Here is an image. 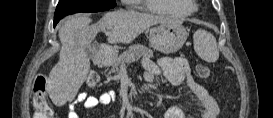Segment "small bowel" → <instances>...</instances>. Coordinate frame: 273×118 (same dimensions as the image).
<instances>
[{"label":"small bowel","instance_id":"obj_1","mask_svg":"<svg viewBox=\"0 0 273 118\" xmlns=\"http://www.w3.org/2000/svg\"><path fill=\"white\" fill-rule=\"evenodd\" d=\"M164 75L174 86L186 84L190 89L199 109L200 118H216L219 113V105L208 91L200 85L193 77L189 63L184 58H162L152 65L146 75L147 82H152L156 77ZM114 99L113 92H103L99 95H86L81 93L69 106L68 118H78L75 104L83 102L86 110H93L101 105H107ZM164 118H184V113L177 106L167 108L163 114Z\"/></svg>","mask_w":273,"mask_h":118}]
</instances>
